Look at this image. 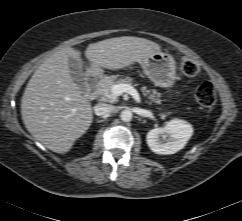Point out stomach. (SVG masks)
<instances>
[{"mask_svg":"<svg viewBox=\"0 0 242 221\" xmlns=\"http://www.w3.org/2000/svg\"><path fill=\"white\" fill-rule=\"evenodd\" d=\"M142 68L155 86L170 88L175 83L176 62L170 54L156 52L143 61Z\"/></svg>","mask_w":242,"mask_h":221,"instance_id":"0dacf381","label":"stomach"}]
</instances>
